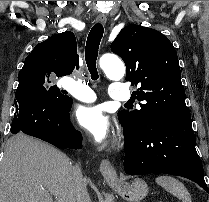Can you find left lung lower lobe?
Masks as SVG:
<instances>
[{
    "instance_id": "0a47b994",
    "label": "left lung lower lobe",
    "mask_w": 209,
    "mask_h": 202,
    "mask_svg": "<svg viewBox=\"0 0 209 202\" xmlns=\"http://www.w3.org/2000/svg\"><path fill=\"white\" fill-rule=\"evenodd\" d=\"M124 168L130 175L165 173L196 182L209 193L201 160L195 149L191 118L155 115L142 130L125 126Z\"/></svg>"
}]
</instances>
